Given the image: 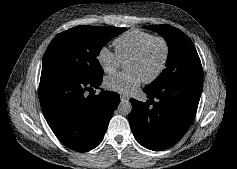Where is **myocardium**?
Segmentation results:
<instances>
[{
  "label": "myocardium",
  "mask_w": 237,
  "mask_h": 169,
  "mask_svg": "<svg viewBox=\"0 0 237 169\" xmlns=\"http://www.w3.org/2000/svg\"><path fill=\"white\" fill-rule=\"evenodd\" d=\"M154 42H160L163 45L164 54H163V58H162L161 64L159 65L158 69L150 77L143 79V82L146 84L154 82L164 72V70L167 66V63H168L169 55H170V46H169L168 41L161 36H154L151 39H149L147 42H145L134 54H132L127 59V60H135V59L141 58L145 54L147 49Z\"/></svg>",
  "instance_id": "obj_1"
}]
</instances>
